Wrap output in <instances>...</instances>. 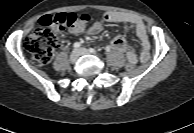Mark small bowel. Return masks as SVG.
<instances>
[{"label": "small bowel", "mask_w": 194, "mask_h": 133, "mask_svg": "<svg viewBox=\"0 0 194 133\" xmlns=\"http://www.w3.org/2000/svg\"><path fill=\"white\" fill-rule=\"evenodd\" d=\"M102 20L110 23H129L135 28L136 35L140 41L139 53L130 47L122 36H116L110 45L107 47L108 50L114 49L120 52H126V58L128 63L136 65L138 62L145 63L150 57V41L148 38L147 28L143 20L136 14L121 12V11H109L106 12ZM102 21H95L88 29L89 34H97L102 30Z\"/></svg>", "instance_id": "1"}]
</instances>
